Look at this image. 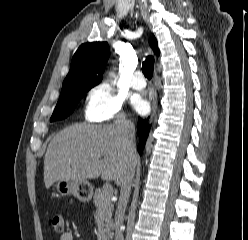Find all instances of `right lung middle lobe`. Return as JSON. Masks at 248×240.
Masks as SVG:
<instances>
[{"label":"right lung middle lobe","mask_w":248,"mask_h":240,"mask_svg":"<svg viewBox=\"0 0 248 240\" xmlns=\"http://www.w3.org/2000/svg\"><path fill=\"white\" fill-rule=\"evenodd\" d=\"M90 88L69 87L61 90L60 98L50 121H58L68 117L75 109L80 98Z\"/></svg>","instance_id":"1"}]
</instances>
